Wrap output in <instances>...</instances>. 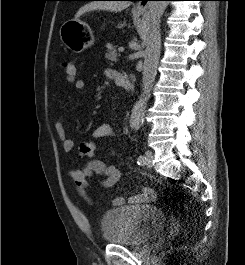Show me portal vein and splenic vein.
<instances>
[{
    "label": "portal vein and splenic vein",
    "instance_id": "18ae733b",
    "mask_svg": "<svg viewBox=\"0 0 245 265\" xmlns=\"http://www.w3.org/2000/svg\"><path fill=\"white\" fill-rule=\"evenodd\" d=\"M118 51H119V52H123V51H124V48H123V47H120V48L118 49Z\"/></svg>",
    "mask_w": 245,
    "mask_h": 265
}]
</instances>
